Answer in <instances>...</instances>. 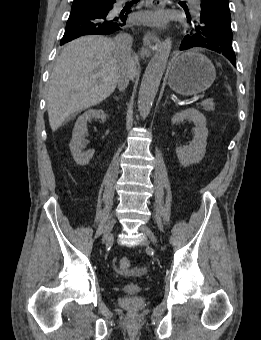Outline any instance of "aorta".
Returning a JSON list of instances; mask_svg holds the SVG:
<instances>
[{
	"label": "aorta",
	"instance_id": "obj_1",
	"mask_svg": "<svg viewBox=\"0 0 261 340\" xmlns=\"http://www.w3.org/2000/svg\"><path fill=\"white\" fill-rule=\"evenodd\" d=\"M171 47L172 39L167 37L158 47L143 75L138 95V111L143 119L148 116L152 108L166 69Z\"/></svg>",
	"mask_w": 261,
	"mask_h": 340
}]
</instances>
